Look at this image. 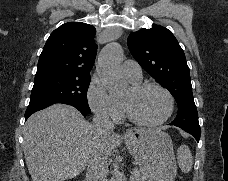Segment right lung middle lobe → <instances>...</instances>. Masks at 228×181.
I'll return each mask as SVG.
<instances>
[{
	"label": "right lung middle lobe",
	"mask_w": 228,
	"mask_h": 181,
	"mask_svg": "<svg viewBox=\"0 0 228 181\" xmlns=\"http://www.w3.org/2000/svg\"><path fill=\"white\" fill-rule=\"evenodd\" d=\"M89 84V77L60 74L35 77L29 106L64 103L90 114L87 102Z\"/></svg>",
	"instance_id": "right-lung-middle-lobe-1"
}]
</instances>
